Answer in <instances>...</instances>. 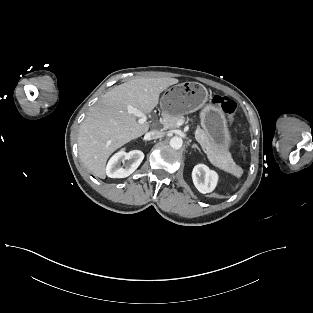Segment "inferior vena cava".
<instances>
[{"label": "inferior vena cava", "instance_id": "obj_1", "mask_svg": "<svg viewBox=\"0 0 313 313\" xmlns=\"http://www.w3.org/2000/svg\"><path fill=\"white\" fill-rule=\"evenodd\" d=\"M164 136V132L158 130H152L146 133L145 137L149 140L151 139H158Z\"/></svg>", "mask_w": 313, "mask_h": 313}]
</instances>
